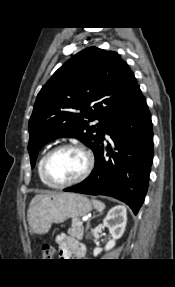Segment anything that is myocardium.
I'll list each match as a JSON object with an SVG mask.
<instances>
[{
  "mask_svg": "<svg viewBox=\"0 0 175 287\" xmlns=\"http://www.w3.org/2000/svg\"><path fill=\"white\" fill-rule=\"evenodd\" d=\"M67 148L76 149V150L82 152L86 158V166H85V169L83 170V172L79 176H77L76 178H74L70 181H67V182L56 183L50 179V177L48 175V171H47V166H48L49 160L51 159V157L56 152H58L62 149H67ZM94 163H95L94 156L89 149H87L85 146H83L79 143L68 142V143L60 144V145L52 148L51 150H49L47 152V154L45 155L43 162H42L41 173H42V177H43L44 181L50 187L64 188V187L72 186V185H75V184H78V183L84 181L92 172V170L94 168Z\"/></svg>",
  "mask_w": 175,
  "mask_h": 287,
  "instance_id": "1",
  "label": "myocardium"
}]
</instances>
